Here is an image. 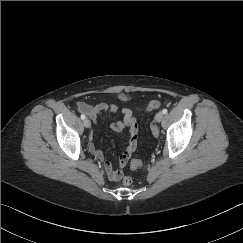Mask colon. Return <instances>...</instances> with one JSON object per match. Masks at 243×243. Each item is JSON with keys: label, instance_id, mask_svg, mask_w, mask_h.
I'll return each instance as SVG.
<instances>
[{"label": "colon", "instance_id": "5ec220e1", "mask_svg": "<svg viewBox=\"0 0 243 243\" xmlns=\"http://www.w3.org/2000/svg\"><path fill=\"white\" fill-rule=\"evenodd\" d=\"M159 107H161V102L158 100H152L147 105L148 110L157 109ZM142 165H143V163L141 160L133 159L130 162V169L137 170V169H140L142 167ZM121 181H122V184L125 186H129L132 183V179L130 176H124Z\"/></svg>", "mask_w": 243, "mask_h": 243}]
</instances>
